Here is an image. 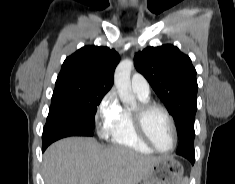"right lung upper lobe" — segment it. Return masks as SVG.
I'll list each match as a JSON object with an SVG mask.
<instances>
[{"mask_svg":"<svg viewBox=\"0 0 235 184\" xmlns=\"http://www.w3.org/2000/svg\"><path fill=\"white\" fill-rule=\"evenodd\" d=\"M119 61L120 56L114 49L84 46L64 61L55 90L69 87H101L110 90Z\"/></svg>","mask_w":235,"mask_h":184,"instance_id":"right-lung-upper-lobe-1","label":"right lung upper lobe"}]
</instances>
